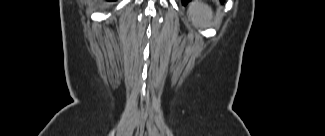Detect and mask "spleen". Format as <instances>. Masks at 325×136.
I'll return each instance as SVG.
<instances>
[{"label": "spleen", "instance_id": "spleen-1", "mask_svg": "<svg viewBox=\"0 0 325 136\" xmlns=\"http://www.w3.org/2000/svg\"><path fill=\"white\" fill-rule=\"evenodd\" d=\"M188 16L196 27L206 28L213 26V12L211 8L202 1L190 3ZM216 23L218 24L219 21H216Z\"/></svg>", "mask_w": 325, "mask_h": 136}]
</instances>
